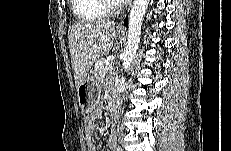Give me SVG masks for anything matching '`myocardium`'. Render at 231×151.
<instances>
[{
    "instance_id": "obj_1",
    "label": "myocardium",
    "mask_w": 231,
    "mask_h": 151,
    "mask_svg": "<svg viewBox=\"0 0 231 151\" xmlns=\"http://www.w3.org/2000/svg\"><path fill=\"white\" fill-rule=\"evenodd\" d=\"M103 7L107 13L114 14L120 10L121 5L113 0H105Z\"/></svg>"
}]
</instances>
